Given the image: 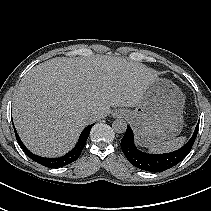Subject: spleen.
<instances>
[{"instance_id": "1", "label": "spleen", "mask_w": 211, "mask_h": 211, "mask_svg": "<svg viewBox=\"0 0 211 211\" xmlns=\"http://www.w3.org/2000/svg\"><path fill=\"white\" fill-rule=\"evenodd\" d=\"M185 142H186V137H178L170 141L149 146V150L150 152L153 153L170 152L180 148Z\"/></svg>"}]
</instances>
